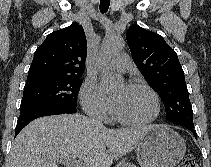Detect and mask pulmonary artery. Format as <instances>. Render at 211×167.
I'll use <instances>...</instances> for the list:
<instances>
[{
    "mask_svg": "<svg viewBox=\"0 0 211 167\" xmlns=\"http://www.w3.org/2000/svg\"><path fill=\"white\" fill-rule=\"evenodd\" d=\"M131 66L132 63L130 57L125 53L116 55L108 65L109 68L119 71H126L130 69Z\"/></svg>",
    "mask_w": 211,
    "mask_h": 167,
    "instance_id": "1",
    "label": "pulmonary artery"
}]
</instances>
